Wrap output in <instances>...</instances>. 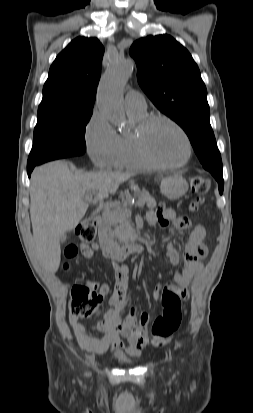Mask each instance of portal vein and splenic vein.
<instances>
[{
  "label": "portal vein and splenic vein",
  "instance_id": "18ae733b",
  "mask_svg": "<svg viewBox=\"0 0 253 413\" xmlns=\"http://www.w3.org/2000/svg\"><path fill=\"white\" fill-rule=\"evenodd\" d=\"M85 200H86V201H91V200H92V195H91V193L88 192V193L85 194ZM139 204H140V203H139ZM139 206H140V205H139Z\"/></svg>",
  "mask_w": 253,
  "mask_h": 413
}]
</instances>
